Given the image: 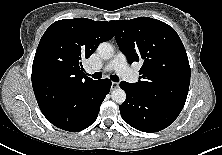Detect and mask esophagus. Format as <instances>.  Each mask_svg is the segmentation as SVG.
<instances>
[{"mask_svg":"<svg viewBox=\"0 0 222 155\" xmlns=\"http://www.w3.org/2000/svg\"><path fill=\"white\" fill-rule=\"evenodd\" d=\"M118 86V83L112 82L111 89H116Z\"/></svg>","mask_w":222,"mask_h":155,"instance_id":"esophagus-1","label":"esophagus"}]
</instances>
